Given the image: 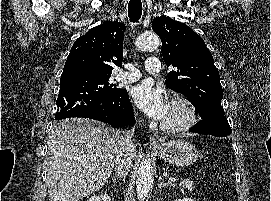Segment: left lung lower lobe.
Listing matches in <instances>:
<instances>
[{"label": "left lung lower lobe", "instance_id": "left-lung-lower-lobe-1", "mask_svg": "<svg viewBox=\"0 0 271 201\" xmlns=\"http://www.w3.org/2000/svg\"><path fill=\"white\" fill-rule=\"evenodd\" d=\"M190 132H194V133H201V134H205L207 131H209L207 128H196V127H192L189 129Z\"/></svg>", "mask_w": 271, "mask_h": 201}]
</instances>
